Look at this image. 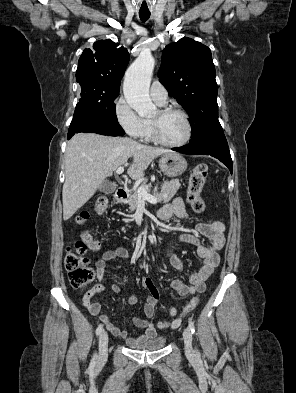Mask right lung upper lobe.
<instances>
[{
    "mask_svg": "<svg viewBox=\"0 0 296 393\" xmlns=\"http://www.w3.org/2000/svg\"><path fill=\"white\" fill-rule=\"evenodd\" d=\"M93 50L85 49L78 61L76 80L81 88L119 92L120 81L129 62V53L112 40H99Z\"/></svg>",
    "mask_w": 296,
    "mask_h": 393,
    "instance_id": "cb5924a9",
    "label": "right lung upper lobe"
}]
</instances>
